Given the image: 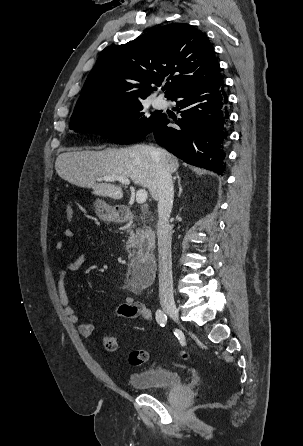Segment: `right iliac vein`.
<instances>
[{
    "instance_id": "obj_1",
    "label": "right iliac vein",
    "mask_w": 303,
    "mask_h": 446,
    "mask_svg": "<svg viewBox=\"0 0 303 446\" xmlns=\"http://www.w3.org/2000/svg\"><path fill=\"white\" fill-rule=\"evenodd\" d=\"M164 311L175 321L179 320V312L174 303H164L162 305Z\"/></svg>"
}]
</instances>
